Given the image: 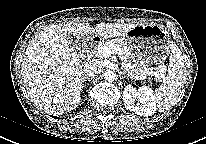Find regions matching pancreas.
<instances>
[{
  "instance_id": "pancreas-1",
  "label": "pancreas",
  "mask_w": 206,
  "mask_h": 144,
  "mask_svg": "<svg viewBox=\"0 0 206 144\" xmlns=\"http://www.w3.org/2000/svg\"><path fill=\"white\" fill-rule=\"evenodd\" d=\"M109 44H114L120 48V52H118V54L122 60L123 67L127 70L128 75L132 79L139 78L140 76L144 77V75L148 74V72L151 70L146 67H140L137 61L132 59L130 48L122 39L117 38V39L107 40L102 46L109 45Z\"/></svg>"
}]
</instances>
